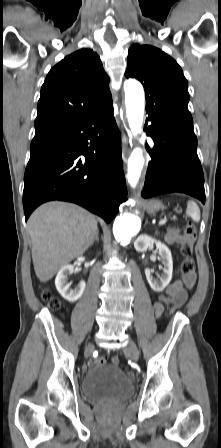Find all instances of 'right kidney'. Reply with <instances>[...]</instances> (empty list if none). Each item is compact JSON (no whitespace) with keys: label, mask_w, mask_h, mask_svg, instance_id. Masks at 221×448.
<instances>
[{"label":"right kidney","mask_w":221,"mask_h":448,"mask_svg":"<svg viewBox=\"0 0 221 448\" xmlns=\"http://www.w3.org/2000/svg\"><path fill=\"white\" fill-rule=\"evenodd\" d=\"M84 260H85L84 257H79L77 259V262H82ZM73 271H74L73 265H65L60 269L55 279V286L57 291L61 294V296L65 300L69 302L77 301L83 294L84 289L86 287L85 282L81 281L80 284L75 289L70 288V283H68V275L72 274Z\"/></svg>","instance_id":"1"}]
</instances>
